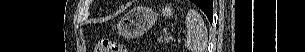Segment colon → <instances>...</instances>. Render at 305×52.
Returning a JSON list of instances; mask_svg holds the SVG:
<instances>
[{"instance_id":"1","label":"colon","mask_w":305,"mask_h":52,"mask_svg":"<svg viewBox=\"0 0 305 52\" xmlns=\"http://www.w3.org/2000/svg\"><path fill=\"white\" fill-rule=\"evenodd\" d=\"M95 52H126V48L118 41L101 39L96 44Z\"/></svg>"}]
</instances>
